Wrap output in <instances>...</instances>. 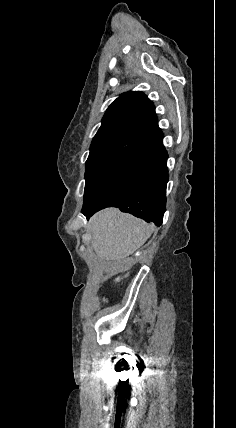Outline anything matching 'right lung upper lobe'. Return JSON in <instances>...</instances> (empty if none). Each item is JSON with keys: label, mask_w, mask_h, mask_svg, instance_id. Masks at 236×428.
Wrapping results in <instances>:
<instances>
[{"label": "right lung upper lobe", "mask_w": 236, "mask_h": 428, "mask_svg": "<svg viewBox=\"0 0 236 428\" xmlns=\"http://www.w3.org/2000/svg\"><path fill=\"white\" fill-rule=\"evenodd\" d=\"M158 131L155 107L147 96L139 91L123 93L105 112L89 155L130 142L143 143Z\"/></svg>", "instance_id": "1"}]
</instances>
